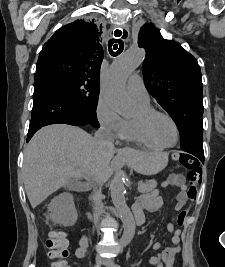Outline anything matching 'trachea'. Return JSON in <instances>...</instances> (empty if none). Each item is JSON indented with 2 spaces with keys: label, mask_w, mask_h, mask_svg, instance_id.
Listing matches in <instances>:
<instances>
[{
  "label": "trachea",
  "mask_w": 225,
  "mask_h": 267,
  "mask_svg": "<svg viewBox=\"0 0 225 267\" xmlns=\"http://www.w3.org/2000/svg\"><path fill=\"white\" fill-rule=\"evenodd\" d=\"M115 33H116L115 34L116 37H120L122 35V31L118 30V29L115 31ZM126 36H127V34L124 31L122 38H126ZM108 49H109V53L112 56H117L123 51L124 43L121 39H114V38L110 39L108 42Z\"/></svg>",
  "instance_id": "1"
}]
</instances>
